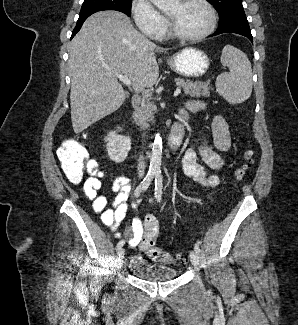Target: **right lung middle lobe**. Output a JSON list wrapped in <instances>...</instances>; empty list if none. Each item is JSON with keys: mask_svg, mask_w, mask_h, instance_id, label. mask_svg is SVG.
<instances>
[{"mask_svg": "<svg viewBox=\"0 0 298 325\" xmlns=\"http://www.w3.org/2000/svg\"><path fill=\"white\" fill-rule=\"evenodd\" d=\"M132 0H84L79 14L85 20L91 14L102 10H117L130 16Z\"/></svg>", "mask_w": 298, "mask_h": 325, "instance_id": "obj_1", "label": "right lung middle lobe"}]
</instances>
